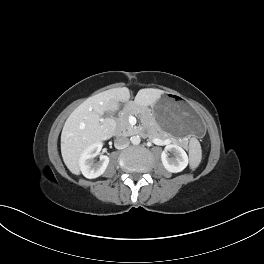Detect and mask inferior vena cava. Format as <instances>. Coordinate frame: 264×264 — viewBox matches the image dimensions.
<instances>
[{"mask_svg": "<svg viewBox=\"0 0 264 264\" xmlns=\"http://www.w3.org/2000/svg\"><path fill=\"white\" fill-rule=\"evenodd\" d=\"M129 145V139L125 136L117 137L114 141V146L117 149H124L128 147Z\"/></svg>", "mask_w": 264, "mask_h": 264, "instance_id": "obj_1", "label": "inferior vena cava"}]
</instances>
